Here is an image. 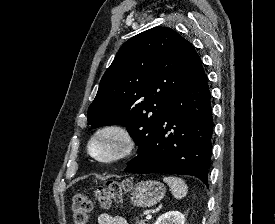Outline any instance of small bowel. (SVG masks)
<instances>
[{
    "instance_id": "obj_1",
    "label": "small bowel",
    "mask_w": 275,
    "mask_h": 224,
    "mask_svg": "<svg viewBox=\"0 0 275 224\" xmlns=\"http://www.w3.org/2000/svg\"><path fill=\"white\" fill-rule=\"evenodd\" d=\"M98 224H128L125 218L120 216H111L107 213H102L98 216Z\"/></svg>"
}]
</instances>
